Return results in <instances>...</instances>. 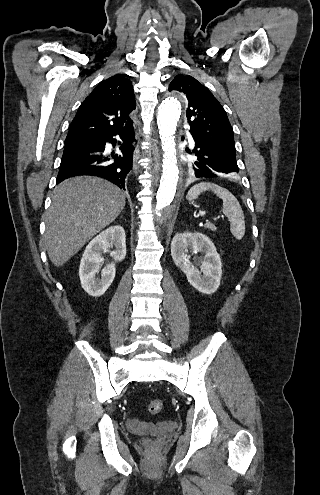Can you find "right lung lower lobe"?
Listing matches in <instances>:
<instances>
[{
	"label": "right lung lower lobe",
	"instance_id": "obj_1",
	"mask_svg": "<svg viewBox=\"0 0 320 495\" xmlns=\"http://www.w3.org/2000/svg\"><path fill=\"white\" fill-rule=\"evenodd\" d=\"M115 136H119L124 143L120 150L123 156L112 154L113 163L104 152L106 143L116 144ZM135 141L133 125L122 130L109 132L102 136L80 141L66 142L61 159L56 183L79 175L98 176L111 181L118 187L125 189V179L132 170V145Z\"/></svg>",
	"mask_w": 320,
	"mask_h": 495
}]
</instances>
